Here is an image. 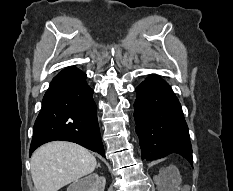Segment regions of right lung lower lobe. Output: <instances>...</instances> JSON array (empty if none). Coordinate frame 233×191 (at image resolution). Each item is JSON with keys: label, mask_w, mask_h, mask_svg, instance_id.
I'll use <instances>...</instances> for the list:
<instances>
[{"label": "right lung lower lobe", "mask_w": 233, "mask_h": 191, "mask_svg": "<svg viewBox=\"0 0 233 191\" xmlns=\"http://www.w3.org/2000/svg\"><path fill=\"white\" fill-rule=\"evenodd\" d=\"M85 78L86 74L74 67L53 78L34 124L30 154L46 142L66 140L105 157L93 90Z\"/></svg>", "instance_id": "obj_1"}]
</instances>
